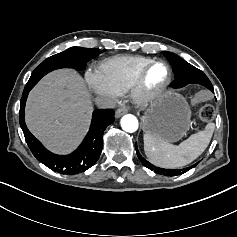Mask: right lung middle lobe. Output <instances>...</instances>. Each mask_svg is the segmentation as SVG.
Listing matches in <instances>:
<instances>
[{"instance_id": "dd1d6c3e", "label": "right lung middle lobe", "mask_w": 237, "mask_h": 237, "mask_svg": "<svg viewBox=\"0 0 237 237\" xmlns=\"http://www.w3.org/2000/svg\"><path fill=\"white\" fill-rule=\"evenodd\" d=\"M100 53L97 48L71 47L64 52L53 55L44 60L32 72L27 83L32 87L47 73L59 68H74L82 70L86 63Z\"/></svg>"}]
</instances>
